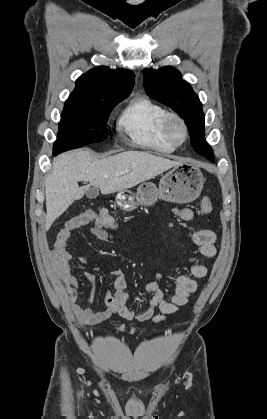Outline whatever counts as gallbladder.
I'll return each mask as SVG.
<instances>
[{"instance_id": "gallbladder-1", "label": "gallbladder", "mask_w": 267, "mask_h": 419, "mask_svg": "<svg viewBox=\"0 0 267 419\" xmlns=\"http://www.w3.org/2000/svg\"><path fill=\"white\" fill-rule=\"evenodd\" d=\"M86 195L89 199H94L99 195V190L97 187H87L86 188Z\"/></svg>"}]
</instances>
